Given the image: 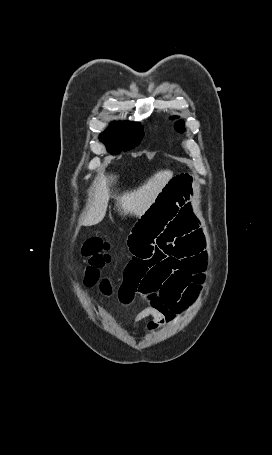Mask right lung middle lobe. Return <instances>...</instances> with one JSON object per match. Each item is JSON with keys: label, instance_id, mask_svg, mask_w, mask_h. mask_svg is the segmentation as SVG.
Returning a JSON list of instances; mask_svg holds the SVG:
<instances>
[{"label": "right lung middle lobe", "instance_id": "dd1d6c3e", "mask_svg": "<svg viewBox=\"0 0 272 455\" xmlns=\"http://www.w3.org/2000/svg\"><path fill=\"white\" fill-rule=\"evenodd\" d=\"M143 135L139 123L115 122L100 137L111 154H119L137 146Z\"/></svg>", "mask_w": 272, "mask_h": 455}]
</instances>
